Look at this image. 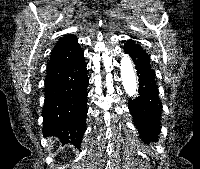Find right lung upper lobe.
Segmentation results:
<instances>
[{"label": "right lung upper lobe", "mask_w": 200, "mask_h": 169, "mask_svg": "<svg viewBox=\"0 0 200 169\" xmlns=\"http://www.w3.org/2000/svg\"><path fill=\"white\" fill-rule=\"evenodd\" d=\"M82 49L78 44V39L74 35H68L61 38L54 49L48 63V68L65 64L75 59Z\"/></svg>", "instance_id": "obj_1"}]
</instances>
